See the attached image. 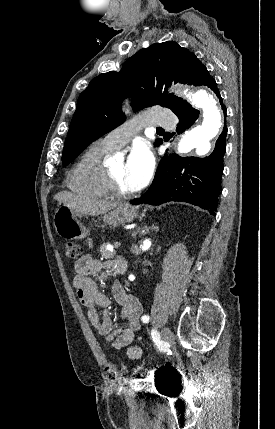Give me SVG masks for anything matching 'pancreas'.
I'll return each mask as SVG.
<instances>
[{
	"label": "pancreas",
	"mask_w": 275,
	"mask_h": 429,
	"mask_svg": "<svg viewBox=\"0 0 275 429\" xmlns=\"http://www.w3.org/2000/svg\"><path fill=\"white\" fill-rule=\"evenodd\" d=\"M107 245V243H104L100 246L101 255L105 259L113 258L116 255V250H108Z\"/></svg>",
	"instance_id": "pancreas-1"
}]
</instances>
